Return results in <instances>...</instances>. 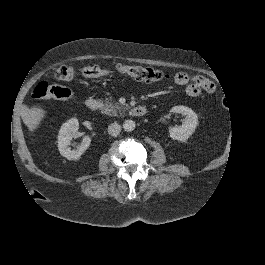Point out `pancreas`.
<instances>
[{
	"label": "pancreas",
	"instance_id": "obj_1",
	"mask_svg": "<svg viewBox=\"0 0 265 265\" xmlns=\"http://www.w3.org/2000/svg\"><path fill=\"white\" fill-rule=\"evenodd\" d=\"M126 109H128L127 106H124L118 102L113 101L112 98H108L105 100V107L102 112L107 115L117 116L118 111L123 112Z\"/></svg>",
	"mask_w": 265,
	"mask_h": 265
}]
</instances>
